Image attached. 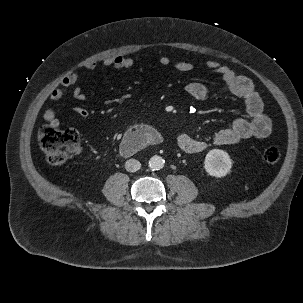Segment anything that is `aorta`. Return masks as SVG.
Segmentation results:
<instances>
[{
	"label": "aorta",
	"mask_w": 303,
	"mask_h": 303,
	"mask_svg": "<svg viewBox=\"0 0 303 303\" xmlns=\"http://www.w3.org/2000/svg\"><path fill=\"white\" fill-rule=\"evenodd\" d=\"M164 159L160 156H153L150 158L149 160V167L152 169V170H160L164 167Z\"/></svg>",
	"instance_id": "762f6f07"
}]
</instances>
